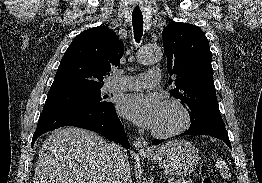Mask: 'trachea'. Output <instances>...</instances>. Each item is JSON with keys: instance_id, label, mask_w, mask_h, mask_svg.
Listing matches in <instances>:
<instances>
[{"instance_id": "trachea-1", "label": "trachea", "mask_w": 262, "mask_h": 183, "mask_svg": "<svg viewBox=\"0 0 262 183\" xmlns=\"http://www.w3.org/2000/svg\"><path fill=\"white\" fill-rule=\"evenodd\" d=\"M132 25L134 30V38L137 43L140 42L143 34V15L140 11L132 12Z\"/></svg>"}]
</instances>
